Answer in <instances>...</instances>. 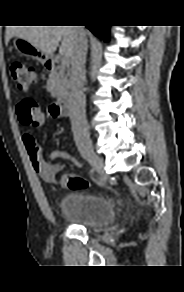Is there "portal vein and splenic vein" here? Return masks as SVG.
Returning a JSON list of instances; mask_svg holds the SVG:
<instances>
[{"mask_svg": "<svg viewBox=\"0 0 184 292\" xmlns=\"http://www.w3.org/2000/svg\"><path fill=\"white\" fill-rule=\"evenodd\" d=\"M67 64H68V57L62 55V57H61V65L62 66H66Z\"/></svg>", "mask_w": 184, "mask_h": 292, "instance_id": "18ae733b", "label": "portal vein and splenic vein"}]
</instances>
